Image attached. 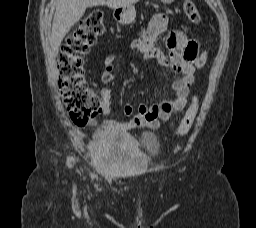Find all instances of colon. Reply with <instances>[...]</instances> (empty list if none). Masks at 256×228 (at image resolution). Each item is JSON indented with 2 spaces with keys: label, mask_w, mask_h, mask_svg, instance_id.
<instances>
[{
  "label": "colon",
  "mask_w": 256,
  "mask_h": 228,
  "mask_svg": "<svg viewBox=\"0 0 256 228\" xmlns=\"http://www.w3.org/2000/svg\"><path fill=\"white\" fill-rule=\"evenodd\" d=\"M183 9L190 21H200V14L192 0H184ZM103 30L102 13L92 11L68 37L58 56L60 92L71 119L76 123H86L101 107L100 99L85 80L83 59ZM206 61L207 53L203 52L196 56L194 63L196 67L201 68ZM197 111L198 101L194 98L176 127L177 135L184 136L189 132Z\"/></svg>",
  "instance_id": "5ec220e1"
}]
</instances>
